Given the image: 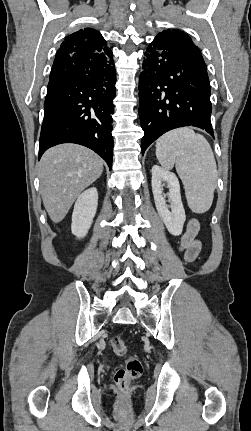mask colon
<instances>
[{
	"label": "colon",
	"mask_w": 251,
	"mask_h": 431,
	"mask_svg": "<svg viewBox=\"0 0 251 431\" xmlns=\"http://www.w3.org/2000/svg\"><path fill=\"white\" fill-rule=\"evenodd\" d=\"M112 351L118 356L126 354V344L119 336H114L110 342ZM143 373V365L141 361L130 356L125 360V365L118 369L114 375V381L122 393H126L129 384L132 380L139 378Z\"/></svg>",
	"instance_id": "colon-1"
}]
</instances>
